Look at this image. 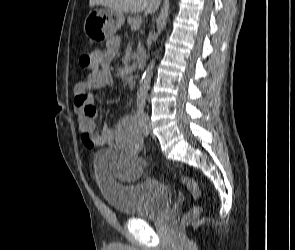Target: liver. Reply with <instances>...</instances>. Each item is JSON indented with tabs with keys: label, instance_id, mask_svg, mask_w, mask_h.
I'll use <instances>...</instances> for the list:
<instances>
[{
	"label": "liver",
	"instance_id": "1",
	"mask_svg": "<svg viewBox=\"0 0 295 250\" xmlns=\"http://www.w3.org/2000/svg\"><path fill=\"white\" fill-rule=\"evenodd\" d=\"M161 0H90L89 5H102L117 12L139 13L145 11L147 14L155 13L159 8Z\"/></svg>",
	"mask_w": 295,
	"mask_h": 250
}]
</instances>
